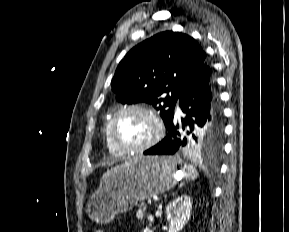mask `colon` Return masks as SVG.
Instances as JSON below:
<instances>
[{
  "label": "colon",
  "instance_id": "colon-1",
  "mask_svg": "<svg viewBox=\"0 0 289 232\" xmlns=\"http://www.w3.org/2000/svg\"><path fill=\"white\" fill-rule=\"evenodd\" d=\"M93 232H104V231L101 230V229H96V230H94Z\"/></svg>",
  "mask_w": 289,
  "mask_h": 232
}]
</instances>
